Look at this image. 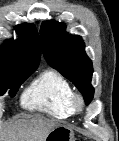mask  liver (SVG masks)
Listing matches in <instances>:
<instances>
[{"instance_id":"1","label":"liver","mask_w":119,"mask_h":141,"mask_svg":"<svg viewBox=\"0 0 119 141\" xmlns=\"http://www.w3.org/2000/svg\"><path fill=\"white\" fill-rule=\"evenodd\" d=\"M59 125L41 116L23 118L4 131L0 141H45L48 133Z\"/></svg>"}]
</instances>
